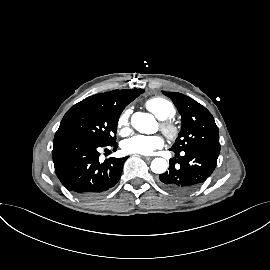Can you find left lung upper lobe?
I'll list each match as a JSON object with an SVG mask.
<instances>
[{"instance_id":"5c2ea615","label":"left lung upper lobe","mask_w":270,"mask_h":270,"mask_svg":"<svg viewBox=\"0 0 270 270\" xmlns=\"http://www.w3.org/2000/svg\"><path fill=\"white\" fill-rule=\"evenodd\" d=\"M171 98L181 115V131L170 150L192 149L220 153L219 131L211 113L192 98L177 92H163Z\"/></svg>"}]
</instances>
